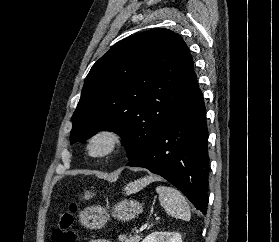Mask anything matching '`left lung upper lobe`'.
Instances as JSON below:
<instances>
[{
  "label": "left lung upper lobe",
  "mask_w": 279,
  "mask_h": 242,
  "mask_svg": "<svg viewBox=\"0 0 279 242\" xmlns=\"http://www.w3.org/2000/svg\"><path fill=\"white\" fill-rule=\"evenodd\" d=\"M193 67L187 45L171 30L152 29L119 41L85 79L70 142L109 130L123 138L128 160L141 155L183 101Z\"/></svg>",
  "instance_id": "left-lung-upper-lobe-1"
}]
</instances>
